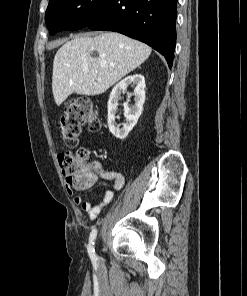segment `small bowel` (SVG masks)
I'll return each mask as SVG.
<instances>
[{"instance_id": "small-bowel-1", "label": "small bowel", "mask_w": 247, "mask_h": 296, "mask_svg": "<svg viewBox=\"0 0 247 296\" xmlns=\"http://www.w3.org/2000/svg\"><path fill=\"white\" fill-rule=\"evenodd\" d=\"M97 170L103 179L114 181V188L116 190L122 189L124 185V176L120 172L104 170L99 164H97ZM67 192L72 197V200L76 205H81L83 211L87 213L91 220L96 219L102 209H104L113 198V192L104 189L102 190V199L100 202L93 204L90 201H83L82 196L75 194L69 186L67 187Z\"/></svg>"}]
</instances>
